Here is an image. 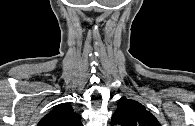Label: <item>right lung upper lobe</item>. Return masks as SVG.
Listing matches in <instances>:
<instances>
[{"label": "right lung upper lobe", "instance_id": "obj_1", "mask_svg": "<svg viewBox=\"0 0 195 126\" xmlns=\"http://www.w3.org/2000/svg\"><path fill=\"white\" fill-rule=\"evenodd\" d=\"M38 126H82L81 116L69 103L61 104L44 116Z\"/></svg>", "mask_w": 195, "mask_h": 126}]
</instances>
